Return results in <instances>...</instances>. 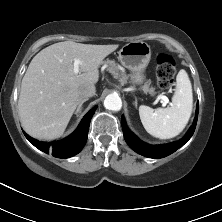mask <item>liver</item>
<instances>
[{"mask_svg": "<svg viewBox=\"0 0 222 222\" xmlns=\"http://www.w3.org/2000/svg\"><path fill=\"white\" fill-rule=\"evenodd\" d=\"M118 46L64 41L41 50L21 83L18 110L26 133L40 140L63 135L82 100L79 89L98 82L99 66ZM75 59L82 62L81 74L73 71Z\"/></svg>", "mask_w": 222, "mask_h": 222, "instance_id": "6515ba94", "label": "liver"}]
</instances>
